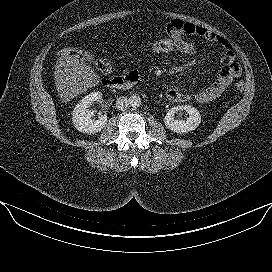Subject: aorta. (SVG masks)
<instances>
[{
	"label": "aorta",
	"instance_id": "762f6f07",
	"mask_svg": "<svg viewBox=\"0 0 272 272\" xmlns=\"http://www.w3.org/2000/svg\"><path fill=\"white\" fill-rule=\"evenodd\" d=\"M130 106L133 108H138L141 105V98L139 96H131L130 99Z\"/></svg>",
	"mask_w": 272,
	"mask_h": 272
}]
</instances>
